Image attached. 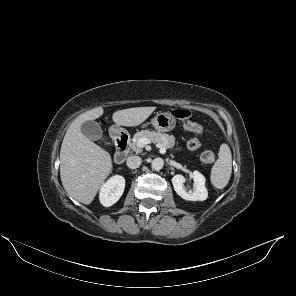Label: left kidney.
I'll return each instance as SVG.
<instances>
[{"label": "left kidney", "mask_w": 296, "mask_h": 296, "mask_svg": "<svg viewBox=\"0 0 296 296\" xmlns=\"http://www.w3.org/2000/svg\"><path fill=\"white\" fill-rule=\"evenodd\" d=\"M194 181V190L187 192L184 187L185 178L182 175H175L172 178V184L176 193L184 200L204 201L207 199L208 192L205 187V177L198 171L192 173Z\"/></svg>", "instance_id": "5707ae66"}]
</instances>
